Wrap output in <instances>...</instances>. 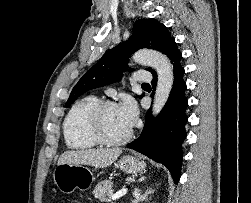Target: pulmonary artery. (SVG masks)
Masks as SVG:
<instances>
[{
  "label": "pulmonary artery",
  "mask_w": 251,
  "mask_h": 203,
  "mask_svg": "<svg viewBox=\"0 0 251 203\" xmlns=\"http://www.w3.org/2000/svg\"><path fill=\"white\" fill-rule=\"evenodd\" d=\"M152 80V74L149 72H137L136 81L139 83H148Z\"/></svg>",
  "instance_id": "e3ab8cb5"
}]
</instances>
